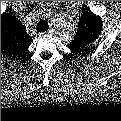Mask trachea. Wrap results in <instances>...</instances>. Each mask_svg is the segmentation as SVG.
I'll return each instance as SVG.
<instances>
[{"label":"trachea","mask_w":121,"mask_h":121,"mask_svg":"<svg viewBox=\"0 0 121 121\" xmlns=\"http://www.w3.org/2000/svg\"><path fill=\"white\" fill-rule=\"evenodd\" d=\"M48 28H49V25L44 20L39 21L38 24H37V31L38 32H45V31L48 30Z\"/></svg>","instance_id":"trachea-1"}]
</instances>
